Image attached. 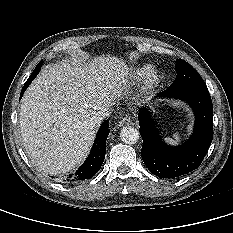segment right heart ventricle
Returning <instances> with one entry per match:
<instances>
[{
	"label": "right heart ventricle",
	"instance_id": "obj_1",
	"mask_svg": "<svg viewBox=\"0 0 233 233\" xmlns=\"http://www.w3.org/2000/svg\"><path fill=\"white\" fill-rule=\"evenodd\" d=\"M153 70V66L151 64H141L131 68L125 74V80L127 81H140L146 78Z\"/></svg>",
	"mask_w": 233,
	"mask_h": 233
}]
</instances>
